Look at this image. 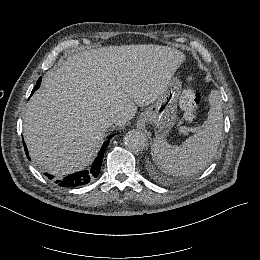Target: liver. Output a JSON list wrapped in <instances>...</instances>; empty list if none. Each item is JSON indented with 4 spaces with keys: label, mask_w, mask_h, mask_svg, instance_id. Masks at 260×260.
<instances>
[{
    "label": "liver",
    "mask_w": 260,
    "mask_h": 260,
    "mask_svg": "<svg viewBox=\"0 0 260 260\" xmlns=\"http://www.w3.org/2000/svg\"><path fill=\"white\" fill-rule=\"evenodd\" d=\"M158 45L104 47L77 53L52 69L30 99L23 135L32 159L60 176L95 156L111 114L125 126L137 107L153 104L185 62Z\"/></svg>",
    "instance_id": "6515ba94"
}]
</instances>
